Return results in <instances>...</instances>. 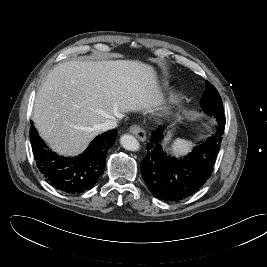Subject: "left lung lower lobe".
Masks as SVG:
<instances>
[{
  "mask_svg": "<svg viewBox=\"0 0 267 267\" xmlns=\"http://www.w3.org/2000/svg\"><path fill=\"white\" fill-rule=\"evenodd\" d=\"M217 118V117H216ZM215 134L198 143L184 157H171L161 147L165 126L153 133L140 168L152 194L165 201H178L195 193L211 176L225 128V116L217 118Z\"/></svg>",
  "mask_w": 267,
  "mask_h": 267,
  "instance_id": "left-lung-lower-lobe-1",
  "label": "left lung lower lobe"
}]
</instances>
